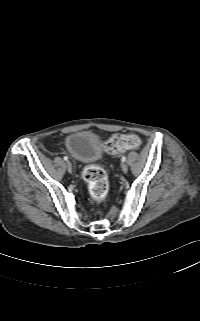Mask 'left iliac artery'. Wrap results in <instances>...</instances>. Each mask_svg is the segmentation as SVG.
<instances>
[{
  "instance_id": "obj_1",
  "label": "left iliac artery",
  "mask_w": 200,
  "mask_h": 321,
  "mask_svg": "<svg viewBox=\"0 0 200 321\" xmlns=\"http://www.w3.org/2000/svg\"><path fill=\"white\" fill-rule=\"evenodd\" d=\"M121 160H122V162H125V161H126V157L123 156V157L121 158Z\"/></svg>"
}]
</instances>
